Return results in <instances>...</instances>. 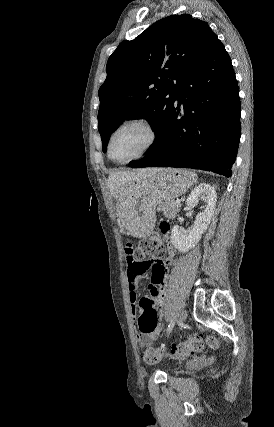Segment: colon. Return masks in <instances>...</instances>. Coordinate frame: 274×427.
<instances>
[{"instance_id":"1","label":"colon","mask_w":274,"mask_h":427,"mask_svg":"<svg viewBox=\"0 0 274 427\" xmlns=\"http://www.w3.org/2000/svg\"><path fill=\"white\" fill-rule=\"evenodd\" d=\"M161 242L160 228H158L156 231L142 239L140 243L135 246L134 250H131L135 255V263L140 264L141 261L150 260V256L152 254L156 257L157 253H165L166 250L161 246ZM205 345L216 347L217 342L212 336H209L204 340L200 335H193L180 344L173 345L172 355L182 358H190L196 352L201 351ZM157 352L158 351L155 347H146L145 350H141L139 355L142 359V363L157 364L159 361V358L156 355ZM159 355L161 356L162 354L160 353Z\"/></svg>"}]
</instances>
